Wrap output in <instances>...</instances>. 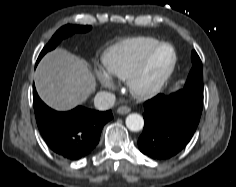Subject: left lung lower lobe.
Wrapping results in <instances>:
<instances>
[{
	"instance_id": "left-lung-lower-lobe-1",
	"label": "left lung lower lobe",
	"mask_w": 236,
	"mask_h": 187,
	"mask_svg": "<svg viewBox=\"0 0 236 187\" xmlns=\"http://www.w3.org/2000/svg\"><path fill=\"white\" fill-rule=\"evenodd\" d=\"M202 102L184 90L169 96L158 94L145 102V124L138 139L140 151L159 160L171 158L180 152L199 124Z\"/></svg>"
}]
</instances>
